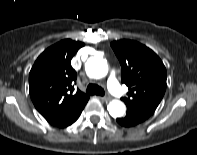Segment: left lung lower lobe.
Instances as JSON below:
<instances>
[{
  "instance_id": "0a47b994",
  "label": "left lung lower lobe",
  "mask_w": 197,
  "mask_h": 155,
  "mask_svg": "<svg viewBox=\"0 0 197 155\" xmlns=\"http://www.w3.org/2000/svg\"><path fill=\"white\" fill-rule=\"evenodd\" d=\"M143 121L144 120H142L140 117H138L134 114L128 113V112L125 117L117 119V122L120 125L125 126V127H132V126H135Z\"/></svg>"
}]
</instances>
